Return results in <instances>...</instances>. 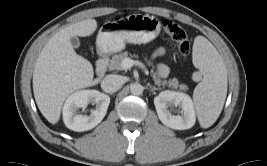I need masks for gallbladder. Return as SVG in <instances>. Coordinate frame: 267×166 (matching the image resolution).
I'll return each instance as SVG.
<instances>
[{
  "mask_svg": "<svg viewBox=\"0 0 267 166\" xmlns=\"http://www.w3.org/2000/svg\"><path fill=\"white\" fill-rule=\"evenodd\" d=\"M70 42H71V45L73 46V48H78L80 46V41L75 36L70 38Z\"/></svg>",
  "mask_w": 267,
  "mask_h": 166,
  "instance_id": "gallbladder-1",
  "label": "gallbladder"
}]
</instances>
